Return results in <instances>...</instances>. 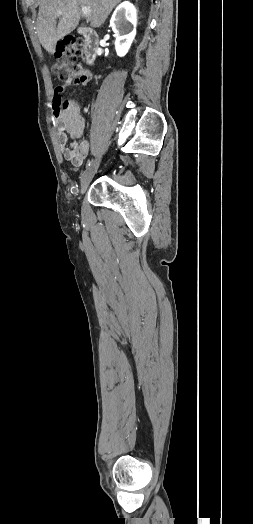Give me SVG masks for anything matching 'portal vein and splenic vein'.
I'll return each mask as SVG.
<instances>
[{
    "label": "portal vein and splenic vein",
    "mask_w": 253,
    "mask_h": 524,
    "mask_svg": "<svg viewBox=\"0 0 253 524\" xmlns=\"http://www.w3.org/2000/svg\"><path fill=\"white\" fill-rule=\"evenodd\" d=\"M81 11H82V14H83L85 17L89 18V17L91 16V9H90V7H88V6H82V7H81Z\"/></svg>",
    "instance_id": "obj_1"
}]
</instances>
